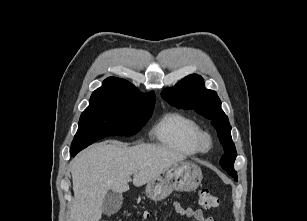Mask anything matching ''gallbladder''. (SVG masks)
Here are the masks:
<instances>
[{
  "instance_id": "gallbladder-1",
  "label": "gallbladder",
  "mask_w": 307,
  "mask_h": 221,
  "mask_svg": "<svg viewBox=\"0 0 307 221\" xmlns=\"http://www.w3.org/2000/svg\"><path fill=\"white\" fill-rule=\"evenodd\" d=\"M122 202L123 196L121 194L109 191L104 197L102 212L107 216H111L120 210Z\"/></svg>"
}]
</instances>
